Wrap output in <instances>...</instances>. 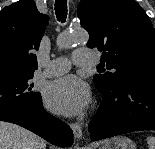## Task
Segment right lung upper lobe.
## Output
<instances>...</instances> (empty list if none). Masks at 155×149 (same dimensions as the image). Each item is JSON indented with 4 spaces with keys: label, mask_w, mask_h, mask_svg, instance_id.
<instances>
[{
    "label": "right lung upper lobe",
    "mask_w": 155,
    "mask_h": 149,
    "mask_svg": "<svg viewBox=\"0 0 155 149\" xmlns=\"http://www.w3.org/2000/svg\"><path fill=\"white\" fill-rule=\"evenodd\" d=\"M49 17L33 0H20L0 11V68L33 72L38 68V50Z\"/></svg>",
    "instance_id": "cb5924a9"
}]
</instances>
